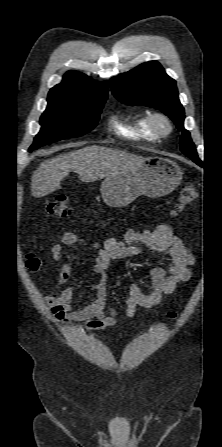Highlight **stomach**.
I'll return each mask as SVG.
<instances>
[{
	"label": "stomach",
	"instance_id": "0dacf381",
	"mask_svg": "<svg viewBox=\"0 0 222 447\" xmlns=\"http://www.w3.org/2000/svg\"><path fill=\"white\" fill-rule=\"evenodd\" d=\"M182 171L174 161L153 156L133 169L111 174L101 185L105 203L125 207L141 195L161 197L171 193L181 182Z\"/></svg>",
	"mask_w": 222,
	"mask_h": 447
}]
</instances>
